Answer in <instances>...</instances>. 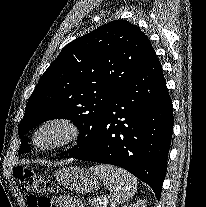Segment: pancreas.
<instances>
[{"label":"pancreas","instance_id":"obj_1","mask_svg":"<svg viewBox=\"0 0 206 207\" xmlns=\"http://www.w3.org/2000/svg\"><path fill=\"white\" fill-rule=\"evenodd\" d=\"M89 203L93 206V207H98V204H97V202H95V201H89Z\"/></svg>","mask_w":206,"mask_h":207}]
</instances>
